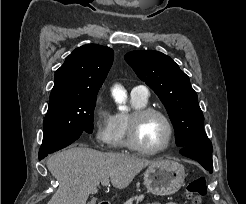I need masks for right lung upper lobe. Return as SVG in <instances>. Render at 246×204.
Returning <instances> with one entry per match:
<instances>
[{"label":"right lung upper lobe","instance_id":"obj_1","mask_svg":"<svg viewBox=\"0 0 246 204\" xmlns=\"http://www.w3.org/2000/svg\"><path fill=\"white\" fill-rule=\"evenodd\" d=\"M114 52L98 44L76 48L55 72L50 101L98 93L110 67Z\"/></svg>","mask_w":246,"mask_h":204}]
</instances>
